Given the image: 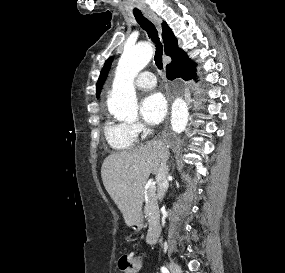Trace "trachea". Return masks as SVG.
Wrapping results in <instances>:
<instances>
[{"mask_svg": "<svg viewBox=\"0 0 285 273\" xmlns=\"http://www.w3.org/2000/svg\"><path fill=\"white\" fill-rule=\"evenodd\" d=\"M134 17L136 21L138 22V24L142 27V29H144L147 32L149 38L154 42L155 47H156L155 55H154L155 64L158 67V69H162L163 67V61H162L163 46L160 42L156 27L141 12H134Z\"/></svg>", "mask_w": 285, "mask_h": 273, "instance_id": "obj_1", "label": "trachea"}]
</instances>
